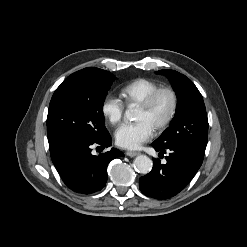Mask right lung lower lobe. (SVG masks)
<instances>
[{"label":"right lung lower lobe","mask_w":247,"mask_h":247,"mask_svg":"<svg viewBox=\"0 0 247 247\" xmlns=\"http://www.w3.org/2000/svg\"><path fill=\"white\" fill-rule=\"evenodd\" d=\"M111 137L105 133L95 141L74 142L50 152L52 162L64 183L77 193L90 194L99 191L107 182V166L110 160L124 154L112 148L95 156L91 145L111 146Z\"/></svg>","instance_id":"98d812e1"}]
</instances>
